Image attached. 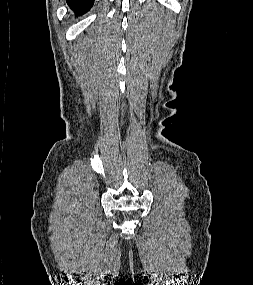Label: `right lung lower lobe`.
<instances>
[{
	"label": "right lung lower lobe",
	"mask_w": 253,
	"mask_h": 285,
	"mask_svg": "<svg viewBox=\"0 0 253 285\" xmlns=\"http://www.w3.org/2000/svg\"><path fill=\"white\" fill-rule=\"evenodd\" d=\"M66 2L77 15H82L92 7L94 0H66Z\"/></svg>",
	"instance_id": "98d812e1"
}]
</instances>
